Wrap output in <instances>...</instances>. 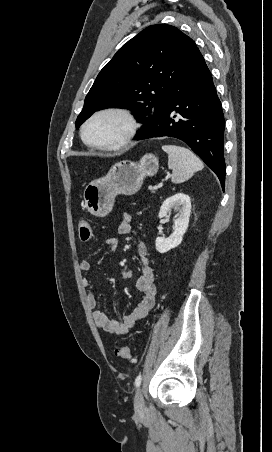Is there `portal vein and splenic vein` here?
I'll use <instances>...</instances> for the list:
<instances>
[{
	"label": "portal vein and splenic vein",
	"mask_w": 272,
	"mask_h": 452,
	"mask_svg": "<svg viewBox=\"0 0 272 452\" xmlns=\"http://www.w3.org/2000/svg\"><path fill=\"white\" fill-rule=\"evenodd\" d=\"M162 186V183H160V184H158V185H155L154 187H153V189H158L159 187H161Z\"/></svg>",
	"instance_id": "1"
}]
</instances>
